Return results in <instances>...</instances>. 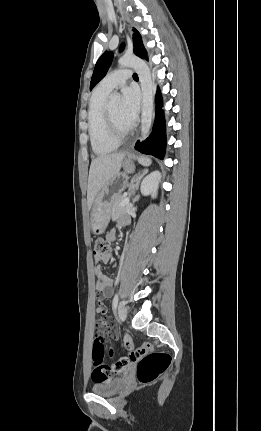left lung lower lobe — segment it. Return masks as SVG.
I'll return each mask as SVG.
<instances>
[{"label": "left lung lower lobe", "mask_w": 261, "mask_h": 431, "mask_svg": "<svg viewBox=\"0 0 261 431\" xmlns=\"http://www.w3.org/2000/svg\"><path fill=\"white\" fill-rule=\"evenodd\" d=\"M162 98L158 91L156 95V117L153 127V131L149 138L144 142L136 143L135 149L144 153L150 154L160 159H163L165 155L166 147V133H165V122L163 116Z\"/></svg>", "instance_id": "obj_1"}]
</instances>
